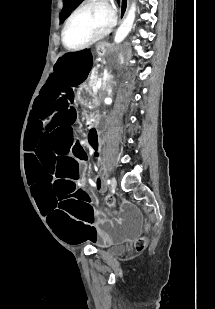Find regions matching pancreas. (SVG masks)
Instances as JSON below:
<instances>
[{
	"mask_svg": "<svg viewBox=\"0 0 215 309\" xmlns=\"http://www.w3.org/2000/svg\"><path fill=\"white\" fill-rule=\"evenodd\" d=\"M97 80H98V78H93V80H89V82H88L89 86H91V88H93V86H96ZM105 86H107L106 82H104V84H102L100 90H103V88H105Z\"/></svg>",
	"mask_w": 215,
	"mask_h": 309,
	"instance_id": "pancreas-1",
	"label": "pancreas"
}]
</instances>
